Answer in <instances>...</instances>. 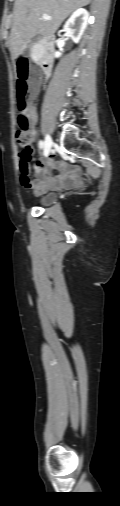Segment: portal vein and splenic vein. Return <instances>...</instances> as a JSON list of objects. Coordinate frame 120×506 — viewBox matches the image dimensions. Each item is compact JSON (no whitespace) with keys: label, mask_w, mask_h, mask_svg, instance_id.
I'll use <instances>...</instances> for the list:
<instances>
[{"label":"portal vein and splenic vein","mask_w":120,"mask_h":506,"mask_svg":"<svg viewBox=\"0 0 120 506\" xmlns=\"http://www.w3.org/2000/svg\"><path fill=\"white\" fill-rule=\"evenodd\" d=\"M42 19L51 20L52 18L50 16L44 14V15H42Z\"/></svg>","instance_id":"18ae733b"}]
</instances>
